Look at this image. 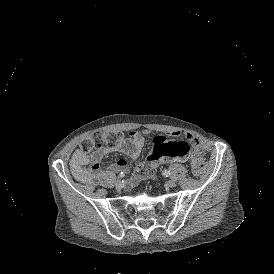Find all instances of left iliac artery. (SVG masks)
<instances>
[{"label":"left iliac artery","mask_w":274,"mask_h":274,"mask_svg":"<svg viewBox=\"0 0 274 274\" xmlns=\"http://www.w3.org/2000/svg\"><path fill=\"white\" fill-rule=\"evenodd\" d=\"M162 175L165 176V177H169L170 176V172L168 170H164L162 172Z\"/></svg>","instance_id":"obj_1"}]
</instances>
